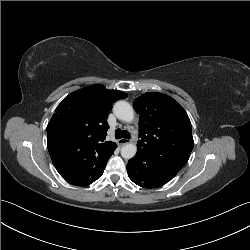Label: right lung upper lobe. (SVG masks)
<instances>
[{
    "label": "right lung upper lobe",
    "instance_id": "obj_1",
    "mask_svg": "<svg viewBox=\"0 0 250 250\" xmlns=\"http://www.w3.org/2000/svg\"><path fill=\"white\" fill-rule=\"evenodd\" d=\"M127 97L118 90L93 85L69 94L47 126V144L60 175L76 186H87L102 176L117 145L105 141L112 104Z\"/></svg>",
    "mask_w": 250,
    "mask_h": 250
}]
</instances>
